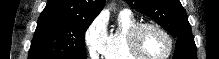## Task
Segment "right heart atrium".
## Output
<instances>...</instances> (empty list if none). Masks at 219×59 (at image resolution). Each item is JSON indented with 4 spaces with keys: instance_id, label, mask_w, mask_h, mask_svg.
I'll return each mask as SVG.
<instances>
[{
    "instance_id": "obj_1",
    "label": "right heart atrium",
    "mask_w": 219,
    "mask_h": 59,
    "mask_svg": "<svg viewBox=\"0 0 219 59\" xmlns=\"http://www.w3.org/2000/svg\"><path fill=\"white\" fill-rule=\"evenodd\" d=\"M108 31L102 17H97L87 28L84 43L92 58H99L106 46Z\"/></svg>"
}]
</instances>
